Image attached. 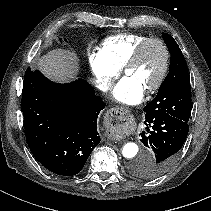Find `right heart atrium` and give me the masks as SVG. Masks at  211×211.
I'll return each instance as SVG.
<instances>
[{"label": "right heart atrium", "instance_id": "obj_1", "mask_svg": "<svg viewBox=\"0 0 211 211\" xmlns=\"http://www.w3.org/2000/svg\"><path fill=\"white\" fill-rule=\"evenodd\" d=\"M87 58L98 87L101 90H108L113 81L119 76L120 68L111 64L99 49L90 50Z\"/></svg>", "mask_w": 211, "mask_h": 211}]
</instances>
